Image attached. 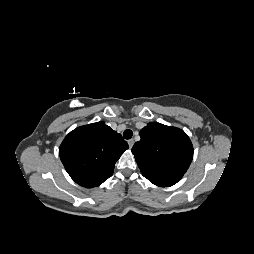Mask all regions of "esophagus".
Segmentation results:
<instances>
[{"instance_id":"esophagus-1","label":"esophagus","mask_w":254,"mask_h":254,"mask_svg":"<svg viewBox=\"0 0 254 254\" xmlns=\"http://www.w3.org/2000/svg\"><path fill=\"white\" fill-rule=\"evenodd\" d=\"M128 145L130 148H132V146L134 145V140L133 139L128 140Z\"/></svg>"}]
</instances>
